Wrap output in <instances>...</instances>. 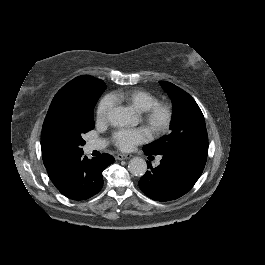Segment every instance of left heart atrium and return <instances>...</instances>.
Returning <instances> with one entry per match:
<instances>
[{"label":"left heart atrium","instance_id":"1","mask_svg":"<svg viewBox=\"0 0 265 265\" xmlns=\"http://www.w3.org/2000/svg\"><path fill=\"white\" fill-rule=\"evenodd\" d=\"M150 139V134L145 128L122 127L115 130L111 135L113 144L122 151H131L134 146Z\"/></svg>","mask_w":265,"mask_h":265}]
</instances>
